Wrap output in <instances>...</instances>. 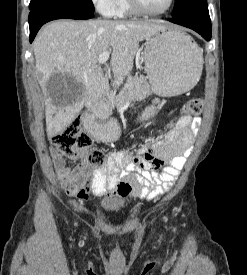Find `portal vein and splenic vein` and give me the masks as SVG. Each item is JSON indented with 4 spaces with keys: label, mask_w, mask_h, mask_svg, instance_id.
<instances>
[{
    "label": "portal vein and splenic vein",
    "mask_w": 247,
    "mask_h": 275,
    "mask_svg": "<svg viewBox=\"0 0 247 275\" xmlns=\"http://www.w3.org/2000/svg\"><path fill=\"white\" fill-rule=\"evenodd\" d=\"M109 57H110V52H109V51L103 52V53L100 54L99 57H98V63H99L100 65L105 64L106 61L109 59Z\"/></svg>",
    "instance_id": "obj_1"
}]
</instances>
